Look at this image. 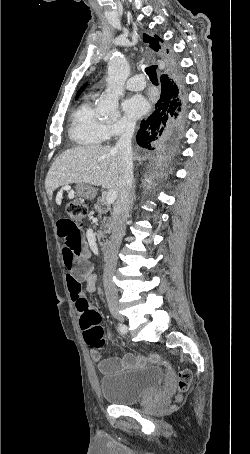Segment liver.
Returning a JSON list of instances; mask_svg holds the SVG:
<instances>
[{"label":"liver","mask_w":250,"mask_h":454,"mask_svg":"<svg viewBox=\"0 0 250 454\" xmlns=\"http://www.w3.org/2000/svg\"><path fill=\"white\" fill-rule=\"evenodd\" d=\"M122 171L121 158L113 147H76L64 151L53 162L45 187L50 197L57 188L73 183L102 186L118 195Z\"/></svg>","instance_id":"6515ba94"}]
</instances>
